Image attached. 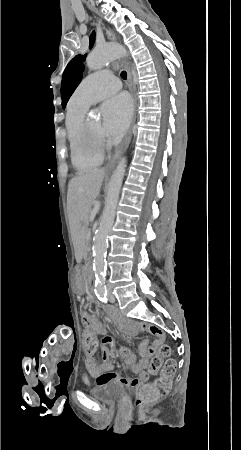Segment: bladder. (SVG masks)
<instances>
[{"label": "bladder", "instance_id": "bladder-1", "mask_svg": "<svg viewBox=\"0 0 241 450\" xmlns=\"http://www.w3.org/2000/svg\"><path fill=\"white\" fill-rule=\"evenodd\" d=\"M92 395L97 400L115 403L121 401L125 397L126 391L123 385L109 382L94 389Z\"/></svg>", "mask_w": 241, "mask_h": 450}]
</instances>
